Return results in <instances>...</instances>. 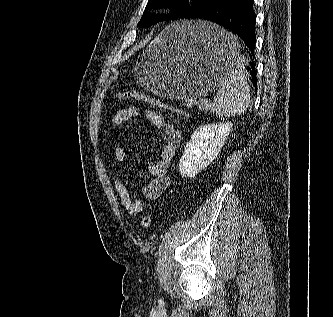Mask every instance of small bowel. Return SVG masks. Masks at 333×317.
Masks as SVG:
<instances>
[{
	"label": "small bowel",
	"mask_w": 333,
	"mask_h": 317,
	"mask_svg": "<svg viewBox=\"0 0 333 317\" xmlns=\"http://www.w3.org/2000/svg\"><path fill=\"white\" fill-rule=\"evenodd\" d=\"M140 113V109L136 106L122 108L113 114L111 122L117 127H123L129 121L138 117ZM145 116L161 131L164 140L158 158L149 167V173L152 179L146 183L142 189L144 199L156 200L162 196L171 184L168 168L178 148L180 133L175 126L166 121L165 118L157 112L146 110ZM113 157L121 171L127 157L125 150L121 147L114 148ZM113 183L121 205L130 215L136 216L144 211L145 203L143 199L131 195L126 183L121 177L115 176Z\"/></svg>",
	"instance_id": "1"
}]
</instances>
